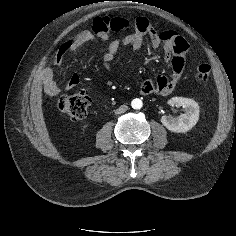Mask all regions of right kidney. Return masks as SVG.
Returning a JSON list of instances; mask_svg holds the SVG:
<instances>
[{
    "label": "right kidney",
    "instance_id": "obj_1",
    "mask_svg": "<svg viewBox=\"0 0 236 236\" xmlns=\"http://www.w3.org/2000/svg\"><path fill=\"white\" fill-rule=\"evenodd\" d=\"M88 125L87 124H85V125H83V128H86Z\"/></svg>",
    "mask_w": 236,
    "mask_h": 236
}]
</instances>
